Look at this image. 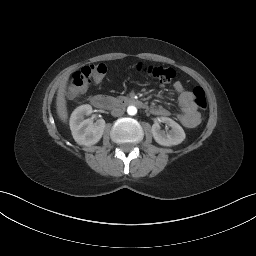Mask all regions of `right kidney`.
I'll use <instances>...</instances> for the list:
<instances>
[{
    "mask_svg": "<svg viewBox=\"0 0 256 256\" xmlns=\"http://www.w3.org/2000/svg\"><path fill=\"white\" fill-rule=\"evenodd\" d=\"M92 113V107L89 104L77 107L70 117V129L74 140L79 145L91 146L96 144L102 137L105 121L99 119L93 123L91 119H84Z\"/></svg>",
    "mask_w": 256,
    "mask_h": 256,
    "instance_id": "right-kidney-1",
    "label": "right kidney"
}]
</instances>
